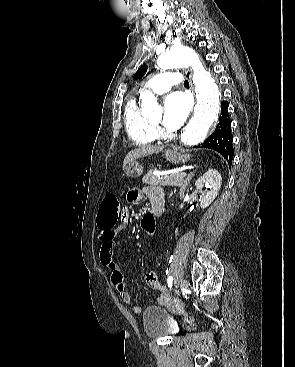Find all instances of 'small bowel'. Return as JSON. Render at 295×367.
<instances>
[{"mask_svg":"<svg viewBox=\"0 0 295 367\" xmlns=\"http://www.w3.org/2000/svg\"><path fill=\"white\" fill-rule=\"evenodd\" d=\"M143 195H146L151 199V202L154 200L165 201V195L161 188L158 187H146L144 189L134 188L130 190L127 194V200L130 203L138 202ZM130 218V209L122 208L121 209V217L120 224L118 226H104L98 223V227L100 229V241H101V251H100V260L102 265L110 271V279L111 283L115 287L118 292L121 300L125 304H129L131 302V295L126 290V283L124 279V275L119 264L115 261L114 255V247H115V238L117 234L125 229L126 224L129 222ZM147 284L156 290L160 291L159 301L163 302L166 297L165 290L159 284L158 276L155 272H149L146 275ZM132 311L134 313H140L141 307L138 305H134L132 307Z\"/></svg>","mask_w":295,"mask_h":367,"instance_id":"small-bowel-1","label":"small bowel"}]
</instances>
